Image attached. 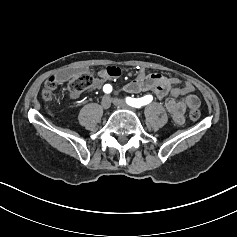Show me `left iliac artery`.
<instances>
[{
    "mask_svg": "<svg viewBox=\"0 0 237 237\" xmlns=\"http://www.w3.org/2000/svg\"><path fill=\"white\" fill-rule=\"evenodd\" d=\"M153 97L152 95H146L142 98H131L127 97L126 102L128 105L135 107V108H141L144 105L149 104L152 101Z\"/></svg>",
    "mask_w": 237,
    "mask_h": 237,
    "instance_id": "1",
    "label": "left iliac artery"
}]
</instances>
